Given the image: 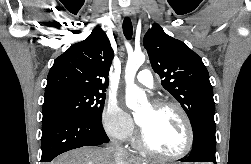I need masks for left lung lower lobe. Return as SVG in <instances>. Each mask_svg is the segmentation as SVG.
<instances>
[{
    "label": "left lung lower lobe",
    "mask_w": 251,
    "mask_h": 164,
    "mask_svg": "<svg viewBox=\"0 0 251 164\" xmlns=\"http://www.w3.org/2000/svg\"><path fill=\"white\" fill-rule=\"evenodd\" d=\"M193 148L190 155L182 162H213L216 164L215 128L203 125L193 133Z\"/></svg>",
    "instance_id": "obj_1"
}]
</instances>
